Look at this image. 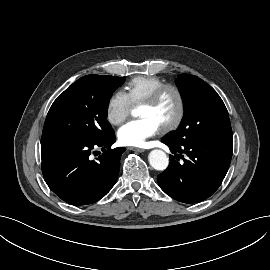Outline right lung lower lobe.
Instances as JSON below:
<instances>
[{
  "mask_svg": "<svg viewBox=\"0 0 270 270\" xmlns=\"http://www.w3.org/2000/svg\"><path fill=\"white\" fill-rule=\"evenodd\" d=\"M114 131L98 142L65 138L41 139L42 172L49 188L71 205L91 204L113 187L125 148L111 149ZM104 152L92 160L93 149Z\"/></svg>",
  "mask_w": 270,
  "mask_h": 270,
  "instance_id": "1",
  "label": "right lung lower lobe"
}]
</instances>
